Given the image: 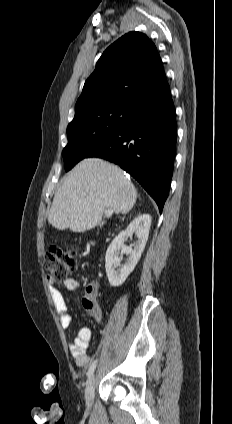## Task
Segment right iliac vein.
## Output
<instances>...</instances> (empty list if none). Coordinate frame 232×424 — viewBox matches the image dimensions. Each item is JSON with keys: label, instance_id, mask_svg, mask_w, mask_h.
<instances>
[{"label": "right iliac vein", "instance_id": "1", "mask_svg": "<svg viewBox=\"0 0 232 424\" xmlns=\"http://www.w3.org/2000/svg\"><path fill=\"white\" fill-rule=\"evenodd\" d=\"M94 390H95V376L93 375L85 388V401L87 409H91L93 405V399H94Z\"/></svg>", "mask_w": 232, "mask_h": 424}]
</instances>
